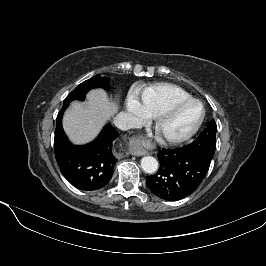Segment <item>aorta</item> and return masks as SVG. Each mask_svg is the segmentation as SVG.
<instances>
[{"label": "aorta", "instance_id": "aorta-1", "mask_svg": "<svg viewBox=\"0 0 266 266\" xmlns=\"http://www.w3.org/2000/svg\"><path fill=\"white\" fill-rule=\"evenodd\" d=\"M141 168L149 174L158 170V161L152 156H145L141 159Z\"/></svg>", "mask_w": 266, "mask_h": 266}]
</instances>
